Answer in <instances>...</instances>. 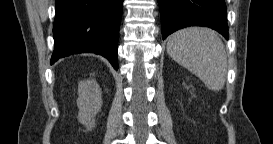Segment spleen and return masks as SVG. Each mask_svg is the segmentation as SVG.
I'll use <instances>...</instances> for the list:
<instances>
[{"mask_svg": "<svg viewBox=\"0 0 273 144\" xmlns=\"http://www.w3.org/2000/svg\"><path fill=\"white\" fill-rule=\"evenodd\" d=\"M167 53L179 65L195 74L213 91L225 85L227 58L217 33L205 27H188L173 33Z\"/></svg>", "mask_w": 273, "mask_h": 144, "instance_id": "1", "label": "spleen"}]
</instances>
